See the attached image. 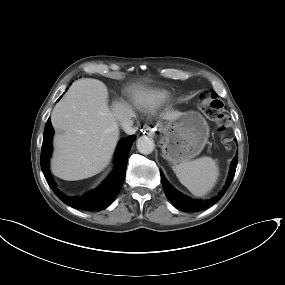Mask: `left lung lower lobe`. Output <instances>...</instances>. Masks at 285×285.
Returning <instances> with one entry per match:
<instances>
[{
  "instance_id": "0a47b994",
  "label": "left lung lower lobe",
  "mask_w": 285,
  "mask_h": 285,
  "mask_svg": "<svg viewBox=\"0 0 285 285\" xmlns=\"http://www.w3.org/2000/svg\"><path fill=\"white\" fill-rule=\"evenodd\" d=\"M237 162H238V156H235V158L233 159V161L231 163V168H230V172H229V176L227 178L226 184H225L223 190L220 192V194L217 197H215L211 200H206V201L190 199L189 197H186L185 195H183L180 192H178L177 190H175L168 183V181L164 177L163 172L160 170L161 180H162V184H163V188H164V191L166 193V196L172 202V204L178 210H181V211H186V212L200 211V210H203L205 208H208L211 205H213L216 201L221 199L222 196L225 194L226 190L230 186V184L233 180V177L235 175Z\"/></svg>"
}]
</instances>
